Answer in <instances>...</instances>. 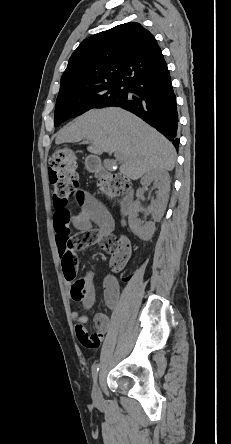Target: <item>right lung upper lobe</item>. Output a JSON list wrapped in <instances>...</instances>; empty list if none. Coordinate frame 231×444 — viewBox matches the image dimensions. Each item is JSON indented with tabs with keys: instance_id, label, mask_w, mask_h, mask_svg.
I'll list each match as a JSON object with an SVG mask.
<instances>
[{
	"instance_id": "1",
	"label": "right lung upper lobe",
	"mask_w": 231,
	"mask_h": 444,
	"mask_svg": "<svg viewBox=\"0 0 231 444\" xmlns=\"http://www.w3.org/2000/svg\"><path fill=\"white\" fill-rule=\"evenodd\" d=\"M166 68L154 36L129 22L80 43L61 77L59 94L111 83L130 85Z\"/></svg>"
}]
</instances>
